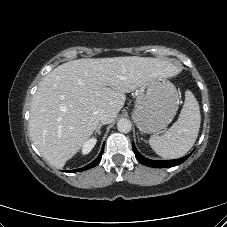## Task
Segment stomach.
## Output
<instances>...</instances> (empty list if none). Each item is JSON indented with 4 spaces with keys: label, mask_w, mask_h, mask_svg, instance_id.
<instances>
[{
    "label": "stomach",
    "mask_w": 227,
    "mask_h": 227,
    "mask_svg": "<svg viewBox=\"0 0 227 227\" xmlns=\"http://www.w3.org/2000/svg\"><path fill=\"white\" fill-rule=\"evenodd\" d=\"M178 106L175 86L165 78H154L138 88L132 118L142 133H156L173 120Z\"/></svg>",
    "instance_id": "obj_1"
}]
</instances>
